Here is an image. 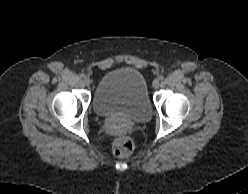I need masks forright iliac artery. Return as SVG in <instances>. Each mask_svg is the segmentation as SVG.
I'll use <instances>...</instances> for the list:
<instances>
[{
    "label": "right iliac artery",
    "instance_id": "obj_1",
    "mask_svg": "<svg viewBox=\"0 0 248 194\" xmlns=\"http://www.w3.org/2000/svg\"><path fill=\"white\" fill-rule=\"evenodd\" d=\"M79 76H80V78H85V74H83V73L80 74Z\"/></svg>",
    "mask_w": 248,
    "mask_h": 194
}]
</instances>
